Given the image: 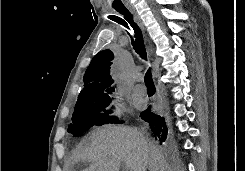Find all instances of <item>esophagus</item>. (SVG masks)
<instances>
[{
	"mask_svg": "<svg viewBox=\"0 0 245 171\" xmlns=\"http://www.w3.org/2000/svg\"><path fill=\"white\" fill-rule=\"evenodd\" d=\"M127 8L131 11V13L133 14L134 16V19L136 20V22L138 23V25L140 26V28L145 32V27L139 17V15L137 14L135 8L131 5V4H128L127 3Z\"/></svg>",
	"mask_w": 245,
	"mask_h": 171,
	"instance_id": "34e87169",
	"label": "esophagus"
}]
</instances>
